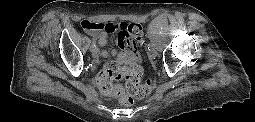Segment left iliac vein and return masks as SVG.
Masks as SVG:
<instances>
[{"instance_id": "1", "label": "left iliac vein", "mask_w": 255, "mask_h": 122, "mask_svg": "<svg viewBox=\"0 0 255 122\" xmlns=\"http://www.w3.org/2000/svg\"><path fill=\"white\" fill-rule=\"evenodd\" d=\"M157 51L156 50H150L148 55H149V58L151 59H155V57L157 56Z\"/></svg>"}]
</instances>
